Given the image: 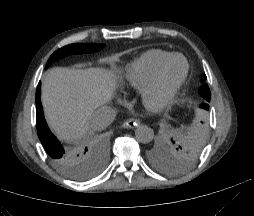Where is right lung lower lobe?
Here are the masks:
<instances>
[{
	"label": "right lung lower lobe",
	"mask_w": 254,
	"mask_h": 216,
	"mask_svg": "<svg viewBox=\"0 0 254 216\" xmlns=\"http://www.w3.org/2000/svg\"><path fill=\"white\" fill-rule=\"evenodd\" d=\"M40 91L41 83H39L36 92V121L39 139L54 164H60L69 158L74 159L77 156L75 151L65 150L58 139L49 130L43 115ZM79 157L86 163L90 162V150L86 147Z\"/></svg>",
	"instance_id": "1"
}]
</instances>
